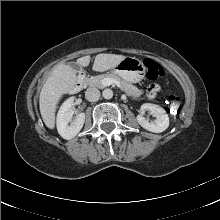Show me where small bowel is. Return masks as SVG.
Masks as SVG:
<instances>
[{
	"mask_svg": "<svg viewBox=\"0 0 220 220\" xmlns=\"http://www.w3.org/2000/svg\"><path fill=\"white\" fill-rule=\"evenodd\" d=\"M159 93V86L157 84H150L146 89V96L148 98H155Z\"/></svg>",
	"mask_w": 220,
	"mask_h": 220,
	"instance_id": "c3829d8e",
	"label": "small bowel"
}]
</instances>
